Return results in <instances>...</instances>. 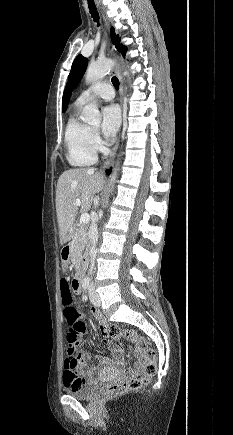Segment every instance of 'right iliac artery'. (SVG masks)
I'll return each mask as SVG.
<instances>
[{
  "label": "right iliac artery",
  "mask_w": 233,
  "mask_h": 435,
  "mask_svg": "<svg viewBox=\"0 0 233 435\" xmlns=\"http://www.w3.org/2000/svg\"><path fill=\"white\" fill-rule=\"evenodd\" d=\"M89 284H90V279H84V281H83V288H84V290H87L88 289V287H89Z\"/></svg>",
  "instance_id": "right-iliac-artery-1"
}]
</instances>
